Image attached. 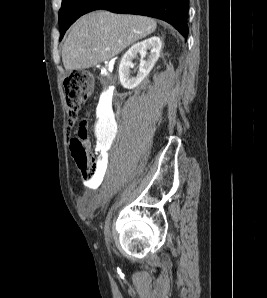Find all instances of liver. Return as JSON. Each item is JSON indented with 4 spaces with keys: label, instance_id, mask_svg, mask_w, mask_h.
<instances>
[{
    "label": "liver",
    "instance_id": "obj_1",
    "mask_svg": "<svg viewBox=\"0 0 267 298\" xmlns=\"http://www.w3.org/2000/svg\"><path fill=\"white\" fill-rule=\"evenodd\" d=\"M155 20L137 15L99 10L80 17L62 49L66 70L91 68L118 55L128 46L153 33Z\"/></svg>",
    "mask_w": 267,
    "mask_h": 298
}]
</instances>
